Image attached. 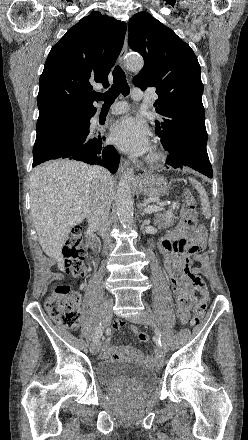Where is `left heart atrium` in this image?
I'll use <instances>...</instances> for the list:
<instances>
[{"label": "left heart atrium", "instance_id": "1", "mask_svg": "<svg viewBox=\"0 0 248 440\" xmlns=\"http://www.w3.org/2000/svg\"><path fill=\"white\" fill-rule=\"evenodd\" d=\"M111 140L119 149L132 156L145 155L151 149L147 127L131 116L123 117L114 123Z\"/></svg>", "mask_w": 248, "mask_h": 440}]
</instances>
